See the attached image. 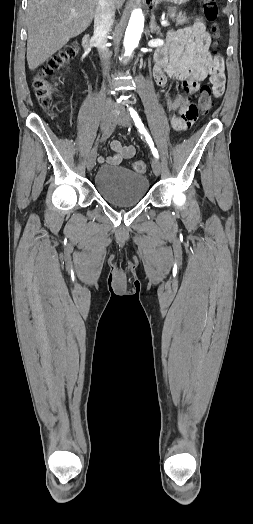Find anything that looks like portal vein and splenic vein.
Segmentation results:
<instances>
[{
    "label": "portal vein and splenic vein",
    "instance_id": "portal-vein-and-splenic-vein-1",
    "mask_svg": "<svg viewBox=\"0 0 253 524\" xmlns=\"http://www.w3.org/2000/svg\"><path fill=\"white\" fill-rule=\"evenodd\" d=\"M72 13H73L74 15L76 14L75 12H72ZM161 25H162V26H168L169 23H168V21L162 19V21H161Z\"/></svg>",
    "mask_w": 253,
    "mask_h": 524
}]
</instances>
